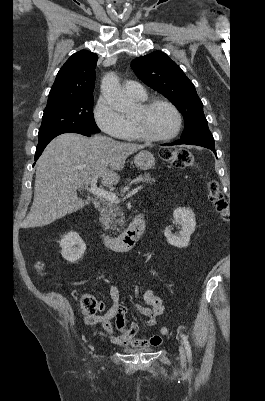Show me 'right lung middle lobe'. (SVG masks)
I'll use <instances>...</instances> for the list:
<instances>
[{
    "instance_id": "obj_1",
    "label": "right lung middle lobe",
    "mask_w": 265,
    "mask_h": 401,
    "mask_svg": "<svg viewBox=\"0 0 265 401\" xmlns=\"http://www.w3.org/2000/svg\"><path fill=\"white\" fill-rule=\"evenodd\" d=\"M93 95L82 96L47 105L39 129V139L55 131L99 133L93 115Z\"/></svg>"
}]
</instances>
